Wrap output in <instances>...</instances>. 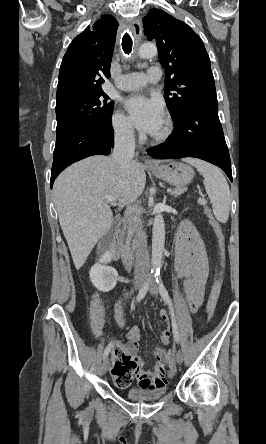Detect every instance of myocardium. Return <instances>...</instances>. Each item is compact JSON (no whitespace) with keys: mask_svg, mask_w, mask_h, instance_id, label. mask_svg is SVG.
<instances>
[{"mask_svg":"<svg viewBox=\"0 0 266 444\" xmlns=\"http://www.w3.org/2000/svg\"><path fill=\"white\" fill-rule=\"evenodd\" d=\"M171 133H172V126L169 122H166L161 132L153 135L152 140L155 143H162L168 139Z\"/></svg>","mask_w":266,"mask_h":444,"instance_id":"obj_1","label":"myocardium"}]
</instances>
